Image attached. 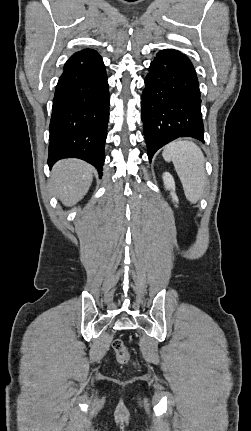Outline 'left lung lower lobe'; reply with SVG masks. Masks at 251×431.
<instances>
[{
  "label": "left lung lower lobe",
  "instance_id": "obj_1",
  "mask_svg": "<svg viewBox=\"0 0 251 431\" xmlns=\"http://www.w3.org/2000/svg\"><path fill=\"white\" fill-rule=\"evenodd\" d=\"M148 70L141 116L149 161L159 148L178 137L204 142L199 83L188 57L165 49L157 53Z\"/></svg>",
  "mask_w": 251,
  "mask_h": 431
}]
</instances>
